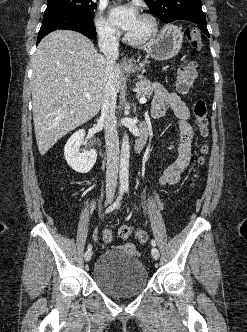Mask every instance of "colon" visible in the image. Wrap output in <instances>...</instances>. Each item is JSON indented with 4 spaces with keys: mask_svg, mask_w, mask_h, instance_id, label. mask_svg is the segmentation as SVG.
I'll return each instance as SVG.
<instances>
[{
    "mask_svg": "<svg viewBox=\"0 0 247 332\" xmlns=\"http://www.w3.org/2000/svg\"><path fill=\"white\" fill-rule=\"evenodd\" d=\"M186 36L193 47L198 48L204 39L203 34L196 27H191L186 31ZM198 75V67L195 62H189L181 66L178 70L176 78V88L179 93H187L193 86ZM195 125L199 135L204 139L200 148V155L197 159L199 166L205 162V156L208 153V145L206 139L209 136L208 108L203 99H198L193 106ZM122 239L134 238L138 243H145L148 240V233L144 230H133L129 226H122L118 231ZM103 240L106 243L112 241V232L105 230L103 232Z\"/></svg>",
    "mask_w": 247,
    "mask_h": 332,
    "instance_id": "5ec220e1",
    "label": "colon"
}]
</instances>
